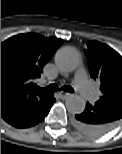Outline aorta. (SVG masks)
Returning <instances> with one entry per match:
<instances>
[{
    "label": "aorta",
    "instance_id": "1",
    "mask_svg": "<svg viewBox=\"0 0 122 154\" xmlns=\"http://www.w3.org/2000/svg\"><path fill=\"white\" fill-rule=\"evenodd\" d=\"M79 63V55L71 47L61 48L55 55V64L63 72H73L79 66ZM65 106L70 113L80 114L84 111L86 103L81 96L71 94L67 96Z\"/></svg>",
    "mask_w": 122,
    "mask_h": 154
}]
</instances>
